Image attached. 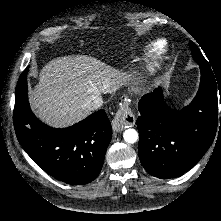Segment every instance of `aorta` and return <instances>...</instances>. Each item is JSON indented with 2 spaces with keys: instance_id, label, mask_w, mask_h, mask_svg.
Returning <instances> with one entry per match:
<instances>
[{
  "instance_id": "obj_1",
  "label": "aorta",
  "mask_w": 221,
  "mask_h": 221,
  "mask_svg": "<svg viewBox=\"0 0 221 221\" xmlns=\"http://www.w3.org/2000/svg\"><path fill=\"white\" fill-rule=\"evenodd\" d=\"M123 138L127 143L133 144L137 142L139 135L138 132L135 129H126L123 132Z\"/></svg>"
}]
</instances>
